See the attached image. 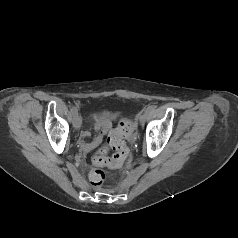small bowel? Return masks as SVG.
I'll list each match as a JSON object with an SVG mask.
<instances>
[{"label":"small bowel","instance_id":"obj_1","mask_svg":"<svg viewBox=\"0 0 238 238\" xmlns=\"http://www.w3.org/2000/svg\"><path fill=\"white\" fill-rule=\"evenodd\" d=\"M111 118H114V115L109 116L107 114H98L92 117V124L96 131V134L93 136L91 141H85L84 139L90 136V132L85 130L82 132V140L80 141V147L83 151H90L98 147L104 137L111 130Z\"/></svg>","mask_w":238,"mask_h":238}]
</instances>
